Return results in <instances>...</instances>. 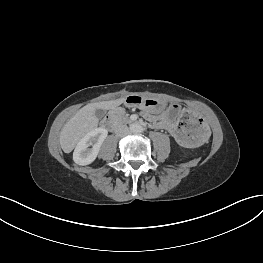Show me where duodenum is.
Here are the masks:
<instances>
[{"instance_id":"1","label":"duodenum","mask_w":263,"mask_h":263,"mask_svg":"<svg viewBox=\"0 0 263 263\" xmlns=\"http://www.w3.org/2000/svg\"><path fill=\"white\" fill-rule=\"evenodd\" d=\"M104 125L109 129H113L116 125L114 117L112 115L106 116L104 119Z\"/></svg>"}]
</instances>
